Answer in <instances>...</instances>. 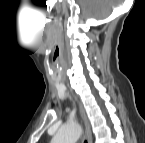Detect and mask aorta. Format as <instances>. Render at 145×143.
Wrapping results in <instances>:
<instances>
[{
    "label": "aorta",
    "instance_id": "aorta-1",
    "mask_svg": "<svg viewBox=\"0 0 145 143\" xmlns=\"http://www.w3.org/2000/svg\"><path fill=\"white\" fill-rule=\"evenodd\" d=\"M81 134L80 126L76 123L62 126L52 141L54 143H76Z\"/></svg>",
    "mask_w": 145,
    "mask_h": 143
}]
</instances>
